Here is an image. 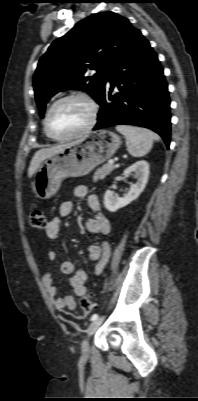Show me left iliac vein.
Returning a JSON list of instances; mask_svg holds the SVG:
<instances>
[{"label": "left iliac vein", "mask_w": 198, "mask_h": 401, "mask_svg": "<svg viewBox=\"0 0 198 401\" xmlns=\"http://www.w3.org/2000/svg\"><path fill=\"white\" fill-rule=\"evenodd\" d=\"M103 318H97L94 320L87 329V338L82 342V354L83 356H87L89 353V337L93 335L99 326L102 324Z\"/></svg>", "instance_id": "4c4485c4"}]
</instances>
